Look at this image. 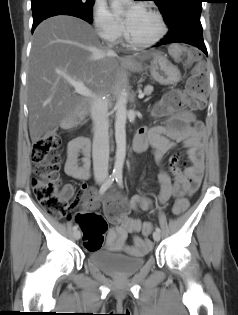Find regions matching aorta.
<instances>
[{
    "label": "aorta",
    "mask_w": 238,
    "mask_h": 315,
    "mask_svg": "<svg viewBox=\"0 0 238 315\" xmlns=\"http://www.w3.org/2000/svg\"><path fill=\"white\" fill-rule=\"evenodd\" d=\"M126 94L123 92L119 95L115 109H116V119H115V140H116V156L114 164V175H121L123 171V165L126 156Z\"/></svg>",
    "instance_id": "aorta-1"
}]
</instances>
